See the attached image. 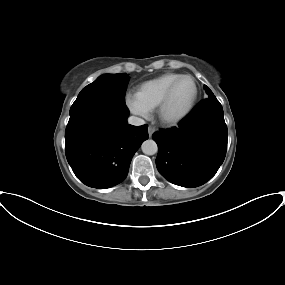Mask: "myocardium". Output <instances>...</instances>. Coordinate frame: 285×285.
<instances>
[{
	"mask_svg": "<svg viewBox=\"0 0 285 285\" xmlns=\"http://www.w3.org/2000/svg\"><path fill=\"white\" fill-rule=\"evenodd\" d=\"M184 78L191 79L194 84L195 91H194L193 99L190 105L187 107V109L183 111L181 114L174 116V117L168 116L166 114V108L170 101L172 93L175 87L177 86V84ZM198 98H199V86H198L196 79L192 75H189V74H183L179 76L169 85V87L167 88L166 92L164 93L163 97L161 98L157 106V115H158L159 121L161 122V124L165 126H176L180 124L193 112V110L195 109L197 105Z\"/></svg>",
	"mask_w": 285,
	"mask_h": 285,
	"instance_id": "obj_1",
	"label": "myocardium"
}]
</instances>
